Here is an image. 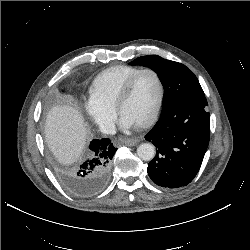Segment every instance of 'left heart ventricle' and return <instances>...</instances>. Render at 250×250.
Masks as SVG:
<instances>
[{
	"mask_svg": "<svg viewBox=\"0 0 250 250\" xmlns=\"http://www.w3.org/2000/svg\"><path fill=\"white\" fill-rule=\"evenodd\" d=\"M157 99L158 85L155 77L151 73H143L135 81L128 99L121 107V117L138 126L152 114Z\"/></svg>",
	"mask_w": 250,
	"mask_h": 250,
	"instance_id": "1",
	"label": "left heart ventricle"
}]
</instances>
